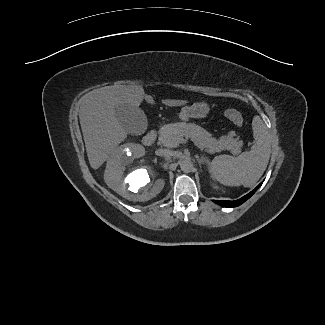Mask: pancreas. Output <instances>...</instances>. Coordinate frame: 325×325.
Returning a JSON list of instances; mask_svg holds the SVG:
<instances>
[{"instance_id": "pancreas-1", "label": "pancreas", "mask_w": 325, "mask_h": 325, "mask_svg": "<svg viewBox=\"0 0 325 325\" xmlns=\"http://www.w3.org/2000/svg\"><path fill=\"white\" fill-rule=\"evenodd\" d=\"M234 136L235 132L231 131L217 140L202 127L193 123L181 122L162 126L159 130L158 143L165 147L174 148L178 146L179 138L187 137L191 138L196 146L211 154L230 150L232 154L237 155L241 152L243 141L234 138Z\"/></svg>"}]
</instances>
